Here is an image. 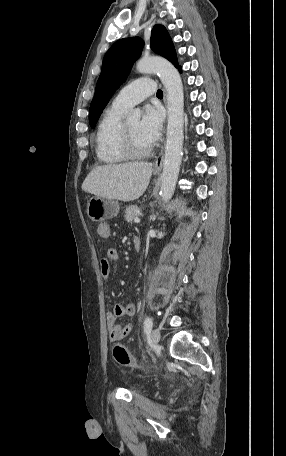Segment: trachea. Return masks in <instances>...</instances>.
<instances>
[{"instance_id":"obj_1","label":"trachea","mask_w":286,"mask_h":456,"mask_svg":"<svg viewBox=\"0 0 286 456\" xmlns=\"http://www.w3.org/2000/svg\"><path fill=\"white\" fill-rule=\"evenodd\" d=\"M157 96H163L162 90L159 89V90L157 91Z\"/></svg>"}]
</instances>
